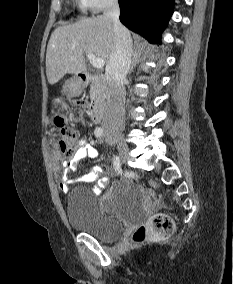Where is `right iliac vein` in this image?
<instances>
[{"instance_id":"obj_1","label":"right iliac vein","mask_w":233,"mask_h":284,"mask_svg":"<svg viewBox=\"0 0 233 284\" xmlns=\"http://www.w3.org/2000/svg\"><path fill=\"white\" fill-rule=\"evenodd\" d=\"M112 141L117 145L120 153L124 156L127 157L129 153V148L127 143L125 142L124 138L121 135H112L111 136Z\"/></svg>"}]
</instances>
